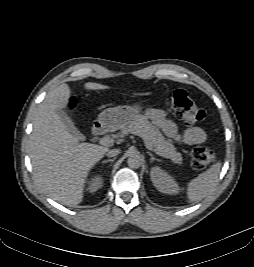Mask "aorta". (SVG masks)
<instances>
[{
	"label": "aorta",
	"instance_id": "762f6f07",
	"mask_svg": "<svg viewBox=\"0 0 254 267\" xmlns=\"http://www.w3.org/2000/svg\"><path fill=\"white\" fill-rule=\"evenodd\" d=\"M127 164L130 168L137 169L142 164V158L137 152L133 151L129 154Z\"/></svg>",
	"mask_w": 254,
	"mask_h": 267
}]
</instances>
